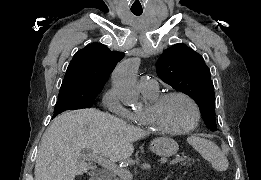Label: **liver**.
I'll list each match as a JSON object with an SVG mask.
<instances>
[{
  "instance_id": "obj_1",
  "label": "liver",
  "mask_w": 261,
  "mask_h": 180,
  "mask_svg": "<svg viewBox=\"0 0 261 180\" xmlns=\"http://www.w3.org/2000/svg\"><path fill=\"white\" fill-rule=\"evenodd\" d=\"M149 134L148 130L130 126L96 108L63 112L52 120L43 134L36 158L35 180H75L78 174L90 168L84 148L111 162L128 160L134 152L133 142Z\"/></svg>"
}]
</instances>
